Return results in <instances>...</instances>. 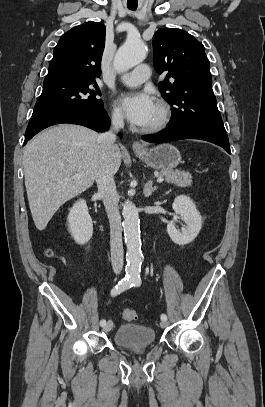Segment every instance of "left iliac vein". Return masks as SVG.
I'll list each match as a JSON object with an SVG mask.
<instances>
[{
	"label": "left iliac vein",
	"instance_id": "1",
	"mask_svg": "<svg viewBox=\"0 0 265 407\" xmlns=\"http://www.w3.org/2000/svg\"><path fill=\"white\" fill-rule=\"evenodd\" d=\"M167 326H168V322H167V321H163V320H162V321L160 322V327H161V328H166Z\"/></svg>",
	"mask_w": 265,
	"mask_h": 407
}]
</instances>
